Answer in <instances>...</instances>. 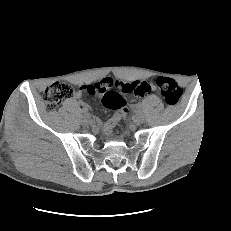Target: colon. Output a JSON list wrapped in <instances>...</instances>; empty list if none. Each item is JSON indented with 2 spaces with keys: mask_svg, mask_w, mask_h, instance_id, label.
Returning <instances> with one entry per match:
<instances>
[{
  "mask_svg": "<svg viewBox=\"0 0 231 231\" xmlns=\"http://www.w3.org/2000/svg\"><path fill=\"white\" fill-rule=\"evenodd\" d=\"M151 86L158 88L167 105L174 106L179 102L182 92L176 81L162 76L154 78L150 82L134 81L127 83L102 79L95 84L87 86L86 91L91 94L101 95L104 105L117 111L115 118L118 120L125 119L128 113L122 94L130 93L134 96L142 97L149 93ZM73 95L74 90L71 85L57 81L45 90L44 101L48 108L54 109Z\"/></svg>",
  "mask_w": 231,
  "mask_h": 231,
  "instance_id": "5ec220e1",
  "label": "colon"
}]
</instances>
